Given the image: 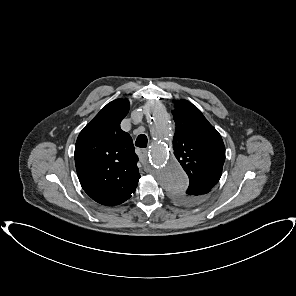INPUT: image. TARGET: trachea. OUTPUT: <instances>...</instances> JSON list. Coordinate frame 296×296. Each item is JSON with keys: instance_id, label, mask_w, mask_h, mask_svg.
Returning a JSON list of instances; mask_svg holds the SVG:
<instances>
[{"instance_id": "3493384b", "label": "trachea", "mask_w": 296, "mask_h": 296, "mask_svg": "<svg viewBox=\"0 0 296 296\" xmlns=\"http://www.w3.org/2000/svg\"><path fill=\"white\" fill-rule=\"evenodd\" d=\"M147 144H148L147 136L144 134H140L136 139L135 145L139 148H145L147 147Z\"/></svg>"}]
</instances>
